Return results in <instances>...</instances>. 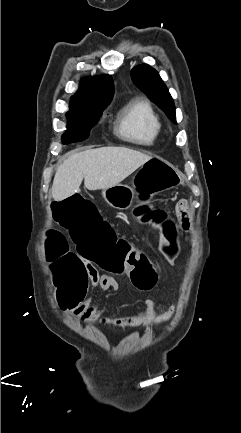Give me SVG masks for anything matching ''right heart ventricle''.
I'll list each match as a JSON object with an SVG mask.
<instances>
[{
    "label": "right heart ventricle",
    "mask_w": 241,
    "mask_h": 433,
    "mask_svg": "<svg viewBox=\"0 0 241 433\" xmlns=\"http://www.w3.org/2000/svg\"><path fill=\"white\" fill-rule=\"evenodd\" d=\"M115 128L117 135L123 140L151 146L160 135L161 122L149 101L135 98L120 109Z\"/></svg>",
    "instance_id": "obj_1"
}]
</instances>
